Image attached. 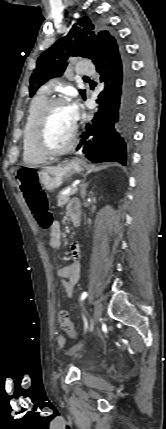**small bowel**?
I'll use <instances>...</instances> for the list:
<instances>
[{"mask_svg": "<svg viewBox=\"0 0 166 429\" xmlns=\"http://www.w3.org/2000/svg\"><path fill=\"white\" fill-rule=\"evenodd\" d=\"M74 212L80 214L79 203L77 200H73L67 205L68 215L71 216V214ZM49 244L50 247L55 250L61 247V228L59 222L57 221L53 222L51 226ZM71 253L73 257V262L57 270V276L59 277L63 285L64 291L69 298L73 296L74 287L80 278V247L78 243H72ZM57 342L60 346H64L66 344V339L64 336L59 335L57 337Z\"/></svg>", "mask_w": 166, "mask_h": 429, "instance_id": "small-bowel-1", "label": "small bowel"}]
</instances>
